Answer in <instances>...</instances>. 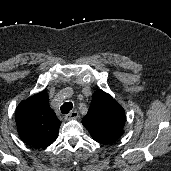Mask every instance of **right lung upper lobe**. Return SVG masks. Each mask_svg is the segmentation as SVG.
Masks as SVG:
<instances>
[{
  "instance_id": "1",
  "label": "right lung upper lobe",
  "mask_w": 171,
  "mask_h": 171,
  "mask_svg": "<svg viewBox=\"0 0 171 171\" xmlns=\"http://www.w3.org/2000/svg\"><path fill=\"white\" fill-rule=\"evenodd\" d=\"M20 138L36 148L48 147L58 136L61 122L49 106L46 92L21 102L15 114Z\"/></svg>"
}]
</instances>
